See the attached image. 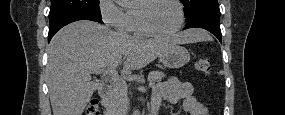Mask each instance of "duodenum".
<instances>
[{"label":"duodenum","mask_w":285,"mask_h":115,"mask_svg":"<svg viewBox=\"0 0 285 115\" xmlns=\"http://www.w3.org/2000/svg\"><path fill=\"white\" fill-rule=\"evenodd\" d=\"M110 93V86L107 84H103L99 88V95L102 98H106Z\"/></svg>","instance_id":"duodenum-1"}]
</instances>
